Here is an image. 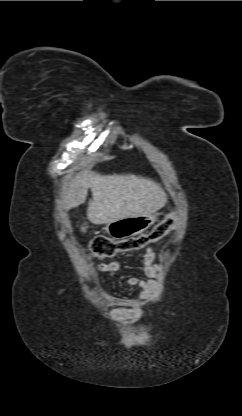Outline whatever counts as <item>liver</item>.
I'll use <instances>...</instances> for the list:
<instances>
[{
  "mask_svg": "<svg viewBox=\"0 0 242 416\" xmlns=\"http://www.w3.org/2000/svg\"><path fill=\"white\" fill-rule=\"evenodd\" d=\"M89 188L92 200L87 218L96 225L153 214L167 203V195L160 184L149 178L134 174L101 175L86 170L63 189L62 207L69 210L84 203Z\"/></svg>",
  "mask_w": 242,
  "mask_h": 416,
  "instance_id": "liver-1",
  "label": "liver"
}]
</instances>
